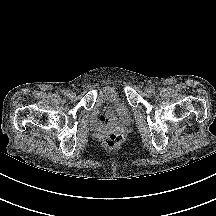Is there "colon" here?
Listing matches in <instances>:
<instances>
[{"instance_id": "1", "label": "colon", "mask_w": 216, "mask_h": 216, "mask_svg": "<svg viewBox=\"0 0 216 216\" xmlns=\"http://www.w3.org/2000/svg\"><path fill=\"white\" fill-rule=\"evenodd\" d=\"M123 141V135L119 132L109 133L104 140V143L109 148H115L119 146Z\"/></svg>"}]
</instances>
